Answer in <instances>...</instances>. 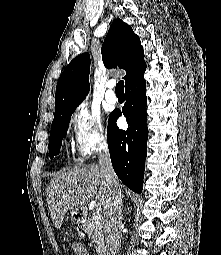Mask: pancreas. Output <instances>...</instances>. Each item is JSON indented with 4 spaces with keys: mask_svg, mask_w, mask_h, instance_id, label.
Instances as JSON below:
<instances>
[{
    "mask_svg": "<svg viewBox=\"0 0 221 255\" xmlns=\"http://www.w3.org/2000/svg\"><path fill=\"white\" fill-rule=\"evenodd\" d=\"M104 221L98 213H92L83 222V228L89 238L96 244L97 249H102V229Z\"/></svg>",
    "mask_w": 221,
    "mask_h": 255,
    "instance_id": "cf45deb5",
    "label": "pancreas"
}]
</instances>
